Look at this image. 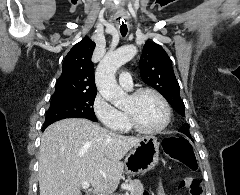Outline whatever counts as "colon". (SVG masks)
<instances>
[{"instance_id": "colon-1", "label": "colon", "mask_w": 240, "mask_h": 195, "mask_svg": "<svg viewBox=\"0 0 240 195\" xmlns=\"http://www.w3.org/2000/svg\"><path fill=\"white\" fill-rule=\"evenodd\" d=\"M162 147L165 154L173 160L184 164L190 170L197 169L198 159L193 152L189 139L183 137L165 139L162 143ZM188 192H190L191 195H203L201 181L196 178H189ZM158 195H163V187H158Z\"/></svg>"}]
</instances>
